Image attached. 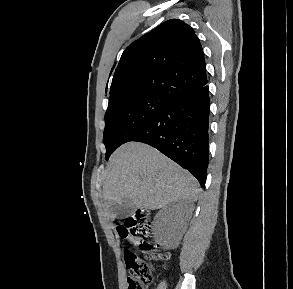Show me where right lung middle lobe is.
<instances>
[{
    "label": "right lung middle lobe",
    "instance_id": "obj_1",
    "mask_svg": "<svg viewBox=\"0 0 293 289\" xmlns=\"http://www.w3.org/2000/svg\"><path fill=\"white\" fill-rule=\"evenodd\" d=\"M171 100L158 94L128 97L108 106L105 114L103 141L105 159L120 145L128 142L132 134L160 113Z\"/></svg>",
    "mask_w": 293,
    "mask_h": 289
}]
</instances>
